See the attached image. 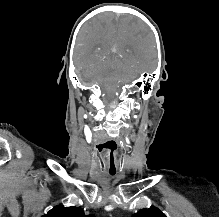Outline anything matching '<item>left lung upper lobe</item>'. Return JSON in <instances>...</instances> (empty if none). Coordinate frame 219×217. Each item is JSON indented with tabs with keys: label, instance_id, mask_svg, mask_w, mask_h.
<instances>
[{
	"label": "left lung upper lobe",
	"instance_id": "1",
	"mask_svg": "<svg viewBox=\"0 0 219 217\" xmlns=\"http://www.w3.org/2000/svg\"><path fill=\"white\" fill-rule=\"evenodd\" d=\"M132 217H166L158 208L151 207L149 209H142Z\"/></svg>",
	"mask_w": 219,
	"mask_h": 217
}]
</instances>
